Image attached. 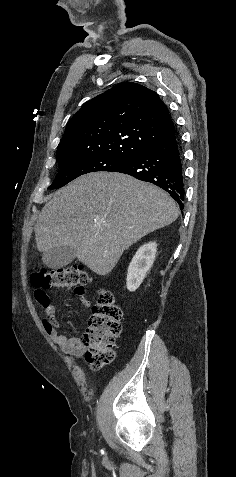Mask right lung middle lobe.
<instances>
[{
	"label": "right lung middle lobe",
	"mask_w": 236,
	"mask_h": 477,
	"mask_svg": "<svg viewBox=\"0 0 236 477\" xmlns=\"http://www.w3.org/2000/svg\"><path fill=\"white\" fill-rule=\"evenodd\" d=\"M130 159L105 155L80 156L58 161L59 172L49 186L50 189H57L65 186L75 178L90 172L114 171L126 164Z\"/></svg>",
	"instance_id": "1"
}]
</instances>
